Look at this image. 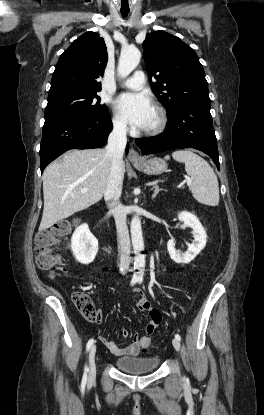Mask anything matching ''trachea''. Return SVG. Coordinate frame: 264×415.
<instances>
[{
    "instance_id": "3493384b",
    "label": "trachea",
    "mask_w": 264,
    "mask_h": 415,
    "mask_svg": "<svg viewBox=\"0 0 264 415\" xmlns=\"http://www.w3.org/2000/svg\"><path fill=\"white\" fill-rule=\"evenodd\" d=\"M123 17H126L128 15V12H121Z\"/></svg>"
}]
</instances>
